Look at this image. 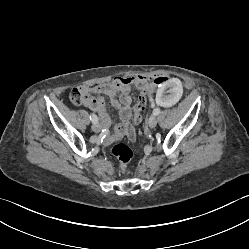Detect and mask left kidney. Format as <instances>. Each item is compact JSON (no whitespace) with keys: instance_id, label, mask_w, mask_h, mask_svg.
Here are the masks:
<instances>
[{"instance_id":"1","label":"left kidney","mask_w":249,"mask_h":249,"mask_svg":"<svg viewBox=\"0 0 249 249\" xmlns=\"http://www.w3.org/2000/svg\"><path fill=\"white\" fill-rule=\"evenodd\" d=\"M160 87L154 92V101L159 107L174 105L183 96V80L178 75L167 78Z\"/></svg>"}]
</instances>
